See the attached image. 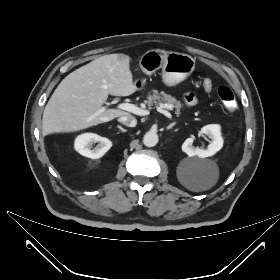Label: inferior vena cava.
<instances>
[{"instance_id": "602c4592", "label": "inferior vena cava", "mask_w": 280, "mask_h": 280, "mask_svg": "<svg viewBox=\"0 0 280 280\" xmlns=\"http://www.w3.org/2000/svg\"><path fill=\"white\" fill-rule=\"evenodd\" d=\"M118 121L127 127H135L137 125V120L134 116H121L118 118Z\"/></svg>"}]
</instances>
